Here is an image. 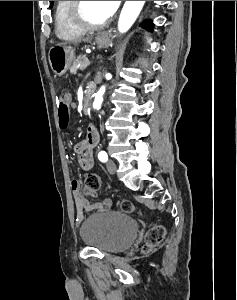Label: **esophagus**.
I'll return each mask as SVG.
<instances>
[{
  "mask_svg": "<svg viewBox=\"0 0 237 300\" xmlns=\"http://www.w3.org/2000/svg\"><path fill=\"white\" fill-rule=\"evenodd\" d=\"M98 37L102 39V38H106L107 35L106 34H100Z\"/></svg>",
  "mask_w": 237,
  "mask_h": 300,
  "instance_id": "esophagus-1",
  "label": "esophagus"
}]
</instances>
